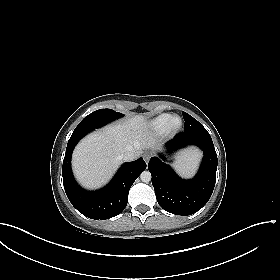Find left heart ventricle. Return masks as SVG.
I'll return each mask as SVG.
<instances>
[{
  "instance_id": "b2bd125f",
  "label": "left heart ventricle",
  "mask_w": 280,
  "mask_h": 280,
  "mask_svg": "<svg viewBox=\"0 0 280 280\" xmlns=\"http://www.w3.org/2000/svg\"><path fill=\"white\" fill-rule=\"evenodd\" d=\"M178 124H179V120L175 119V120L173 121V125H174V126H177Z\"/></svg>"
}]
</instances>
